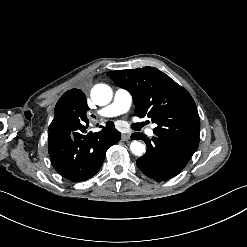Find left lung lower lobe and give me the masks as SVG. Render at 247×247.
I'll list each match as a JSON object with an SVG mask.
<instances>
[{
    "mask_svg": "<svg viewBox=\"0 0 247 247\" xmlns=\"http://www.w3.org/2000/svg\"><path fill=\"white\" fill-rule=\"evenodd\" d=\"M131 138L145 141L147 151L136 164L146 176L157 181L168 180L180 173L196 151L171 138L157 136L151 141L142 133H133Z\"/></svg>",
    "mask_w": 247,
    "mask_h": 247,
    "instance_id": "0a47b994",
    "label": "left lung lower lobe"
}]
</instances>
